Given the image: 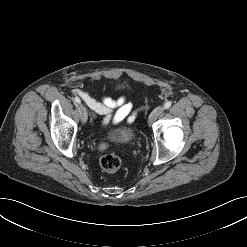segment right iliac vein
Returning a JSON list of instances; mask_svg holds the SVG:
<instances>
[{"instance_id": "right-iliac-vein-1", "label": "right iliac vein", "mask_w": 247, "mask_h": 247, "mask_svg": "<svg viewBox=\"0 0 247 247\" xmlns=\"http://www.w3.org/2000/svg\"><path fill=\"white\" fill-rule=\"evenodd\" d=\"M78 109H79L81 121L83 123H85L87 121V118H88L87 110H86L85 106H83L82 104H79Z\"/></svg>"}]
</instances>
